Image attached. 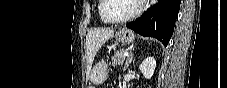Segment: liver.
<instances>
[{
  "label": "liver",
  "instance_id": "1",
  "mask_svg": "<svg viewBox=\"0 0 227 88\" xmlns=\"http://www.w3.org/2000/svg\"><path fill=\"white\" fill-rule=\"evenodd\" d=\"M114 35L112 29H91L86 36L87 64L91 67L96 53L102 45Z\"/></svg>",
  "mask_w": 227,
  "mask_h": 88
}]
</instances>
